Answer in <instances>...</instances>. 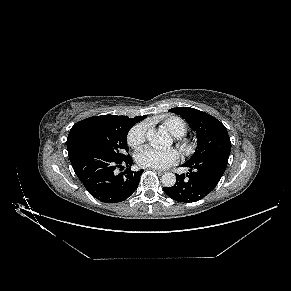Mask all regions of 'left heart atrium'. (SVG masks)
I'll use <instances>...</instances> for the list:
<instances>
[{
	"label": "left heart atrium",
	"mask_w": 291,
	"mask_h": 291,
	"mask_svg": "<svg viewBox=\"0 0 291 291\" xmlns=\"http://www.w3.org/2000/svg\"><path fill=\"white\" fill-rule=\"evenodd\" d=\"M179 159V153L174 148H156L146 146L140 149L136 155V161L140 166L164 169L175 164Z\"/></svg>",
	"instance_id": "obj_1"
}]
</instances>
